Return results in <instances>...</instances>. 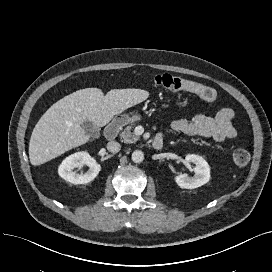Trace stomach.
I'll return each instance as SVG.
<instances>
[{"instance_id": "0dacf381", "label": "stomach", "mask_w": 272, "mask_h": 272, "mask_svg": "<svg viewBox=\"0 0 272 272\" xmlns=\"http://www.w3.org/2000/svg\"><path fill=\"white\" fill-rule=\"evenodd\" d=\"M139 120H141V116L137 113H133L130 115L129 114L121 115L119 118V122L121 124L133 123Z\"/></svg>"}]
</instances>
